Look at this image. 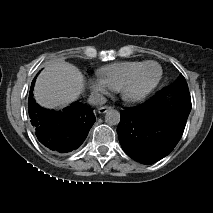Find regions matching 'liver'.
I'll use <instances>...</instances> for the list:
<instances>
[{
	"label": "liver",
	"mask_w": 213,
	"mask_h": 213,
	"mask_svg": "<svg viewBox=\"0 0 213 213\" xmlns=\"http://www.w3.org/2000/svg\"><path fill=\"white\" fill-rule=\"evenodd\" d=\"M84 79L77 67L68 62H52L38 75L34 86L36 102L48 109H62L78 99Z\"/></svg>",
	"instance_id": "obj_1"
}]
</instances>
